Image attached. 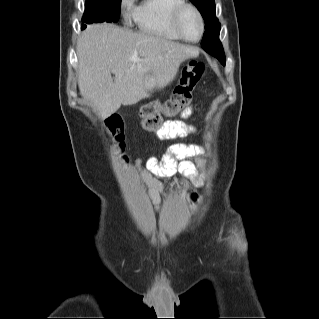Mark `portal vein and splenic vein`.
<instances>
[{
  "mask_svg": "<svg viewBox=\"0 0 319 319\" xmlns=\"http://www.w3.org/2000/svg\"><path fill=\"white\" fill-rule=\"evenodd\" d=\"M137 58L135 56L131 57L130 60H136Z\"/></svg>",
  "mask_w": 319,
  "mask_h": 319,
  "instance_id": "18ae733b",
  "label": "portal vein and splenic vein"
}]
</instances>
